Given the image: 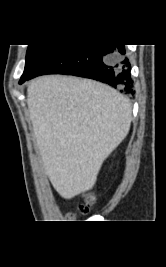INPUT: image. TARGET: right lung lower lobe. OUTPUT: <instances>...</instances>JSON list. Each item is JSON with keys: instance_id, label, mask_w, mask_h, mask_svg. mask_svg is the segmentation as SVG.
Segmentation results:
<instances>
[{"instance_id": "1", "label": "right lung lower lobe", "mask_w": 166, "mask_h": 267, "mask_svg": "<svg viewBox=\"0 0 166 267\" xmlns=\"http://www.w3.org/2000/svg\"><path fill=\"white\" fill-rule=\"evenodd\" d=\"M125 54L124 45H53L26 80L44 74L76 75L101 81L133 96L131 65Z\"/></svg>"}]
</instances>
